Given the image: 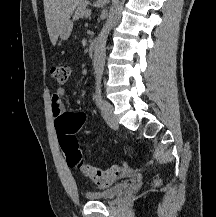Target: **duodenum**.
I'll use <instances>...</instances> for the list:
<instances>
[{
  "mask_svg": "<svg viewBox=\"0 0 216 217\" xmlns=\"http://www.w3.org/2000/svg\"><path fill=\"white\" fill-rule=\"evenodd\" d=\"M96 49V42L94 40L90 41L88 46V52L90 56H94Z\"/></svg>",
  "mask_w": 216,
  "mask_h": 217,
  "instance_id": "obj_1",
  "label": "duodenum"
}]
</instances>
